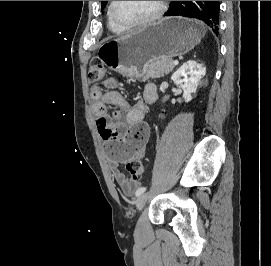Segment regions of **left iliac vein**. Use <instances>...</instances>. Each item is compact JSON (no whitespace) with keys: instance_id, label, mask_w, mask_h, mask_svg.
Masks as SVG:
<instances>
[{"instance_id":"1","label":"left iliac vein","mask_w":271,"mask_h":266,"mask_svg":"<svg viewBox=\"0 0 271 266\" xmlns=\"http://www.w3.org/2000/svg\"><path fill=\"white\" fill-rule=\"evenodd\" d=\"M147 198H148L147 194H142L137 198V200H136V208H137L138 211L143 209V207L146 204Z\"/></svg>"}]
</instances>
